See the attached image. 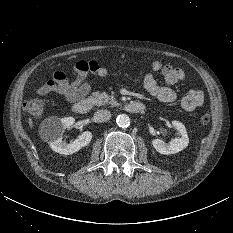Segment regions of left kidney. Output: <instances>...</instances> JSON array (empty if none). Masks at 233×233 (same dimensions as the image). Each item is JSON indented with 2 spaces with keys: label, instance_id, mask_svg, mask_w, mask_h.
<instances>
[{
  "label": "left kidney",
  "instance_id": "obj_1",
  "mask_svg": "<svg viewBox=\"0 0 233 233\" xmlns=\"http://www.w3.org/2000/svg\"><path fill=\"white\" fill-rule=\"evenodd\" d=\"M173 127L178 131L180 137L171 139L166 143L161 139H153L152 144L157 152L164 155L176 154L185 149L189 144V138L185 126L179 121H172Z\"/></svg>",
  "mask_w": 233,
  "mask_h": 233
}]
</instances>
